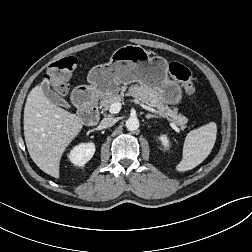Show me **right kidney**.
<instances>
[{
  "instance_id": "ca27d5eb",
  "label": "right kidney",
  "mask_w": 252,
  "mask_h": 252,
  "mask_svg": "<svg viewBox=\"0 0 252 252\" xmlns=\"http://www.w3.org/2000/svg\"><path fill=\"white\" fill-rule=\"evenodd\" d=\"M94 143L79 144L69 153V160L76 166H84L94 155Z\"/></svg>"
}]
</instances>
